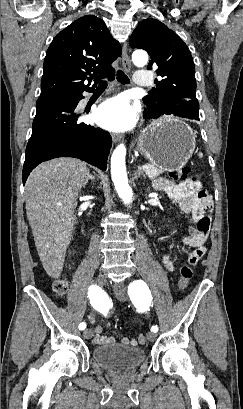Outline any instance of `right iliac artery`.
Masks as SVG:
<instances>
[{
    "label": "right iliac artery",
    "mask_w": 243,
    "mask_h": 409,
    "mask_svg": "<svg viewBox=\"0 0 243 409\" xmlns=\"http://www.w3.org/2000/svg\"><path fill=\"white\" fill-rule=\"evenodd\" d=\"M88 296L92 306L98 311L104 313L106 311V301L100 287L92 285L89 288ZM86 328V323L82 322L79 324V329L84 330Z\"/></svg>",
    "instance_id": "82829eb1"
}]
</instances>
